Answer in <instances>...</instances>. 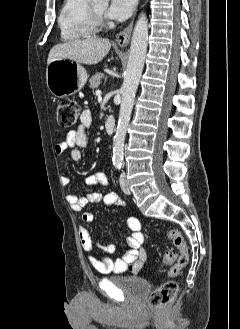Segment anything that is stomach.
<instances>
[{"label": "stomach", "mask_w": 240, "mask_h": 329, "mask_svg": "<svg viewBox=\"0 0 240 329\" xmlns=\"http://www.w3.org/2000/svg\"><path fill=\"white\" fill-rule=\"evenodd\" d=\"M87 78V71L70 59L54 60L46 69L47 87L58 98L68 97L80 91Z\"/></svg>", "instance_id": "obj_1"}]
</instances>
